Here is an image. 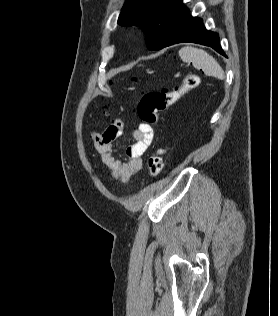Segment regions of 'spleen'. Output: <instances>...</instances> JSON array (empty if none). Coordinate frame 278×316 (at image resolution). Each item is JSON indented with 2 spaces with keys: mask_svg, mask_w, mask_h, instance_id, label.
<instances>
[{
  "mask_svg": "<svg viewBox=\"0 0 278 316\" xmlns=\"http://www.w3.org/2000/svg\"><path fill=\"white\" fill-rule=\"evenodd\" d=\"M179 56L184 62H191L196 69L202 71L208 76H214L218 79H224V71L218 62L206 51L195 47H183L179 51Z\"/></svg>",
  "mask_w": 278,
  "mask_h": 316,
  "instance_id": "1",
  "label": "spleen"
}]
</instances>
